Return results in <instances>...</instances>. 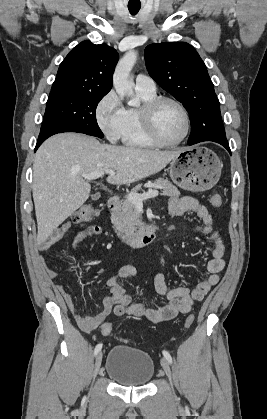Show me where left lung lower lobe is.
Here are the masks:
<instances>
[{"label":"left lung lower lobe","instance_id":"0a47b994","mask_svg":"<svg viewBox=\"0 0 267 419\" xmlns=\"http://www.w3.org/2000/svg\"><path fill=\"white\" fill-rule=\"evenodd\" d=\"M203 141H213L223 145L231 154L228 142L226 138L217 139L215 135L212 134V131L204 125L200 131L191 132L188 139V145H193Z\"/></svg>","mask_w":267,"mask_h":419}]
</instances>
